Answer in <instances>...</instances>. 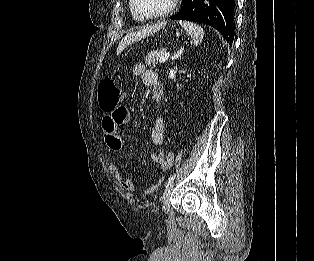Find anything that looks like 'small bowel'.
<instances>
[{
    "label": "small bowel",
    "mask_w": 314,
    "mask_h": 261,
    "mask_svg": "<svg viewBox=\"0 0 314 261\" xmlns=\"http://www.w3.org/2000/svg\"><path fill=\"white\" fill-rule=\"evenodd\" d=\"M132 74L135 77H141L144 84L152 88V95L155 100H160L158 95L163 96V85L159 81L158 74L151 69H147L144 64L136 63L132 67ZM130 121V113L125 108L110 109V115L105 116L102 120V129L106 134V143L108 147L113 151H118L122 148L123 143L118 131H121V127H125V124ZM165 137V123L161 117L155 119L151 133L150 140L154 145H162ZM151 159L161 168L165 169L164 165L165 152L159 150L157 153L151 155ZM108 170L114 178H116L121 184L122 188L127 192H134L136 186L134 182L123 175L120 168L114 164H108ZM156 189V186H152L146 189V193H151Z\"/></svg>",
    "instance_id": "1"
}]
</instances>
